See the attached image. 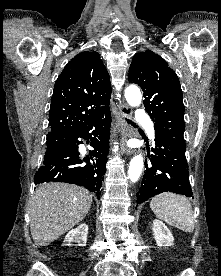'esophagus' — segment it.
Listing matches in <instances>:
<instances>
[{"label": "esophagus", "mask_w": 221, "mask_h": 276, "mask_svg": "<svg viewBox=\"0 0 221 276\" xmlns=\"http://www.w3.org/2000/svg\"><path fill=\"white\" fill-rule=\"evenodd\" d=\"M118 109L119 112L117 118L119 122V130L124 143L122 150L123 153H125L126 155H132L134 151L125 145L127 139H129L132 136V130L126 122V118H129L131 116V110L130 107L122 101L119 102Z\"/></svg>", "instance_id": "obj_1"}]
</instances>
